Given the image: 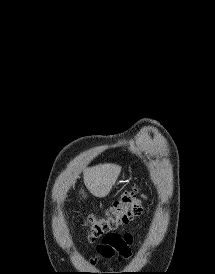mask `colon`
Instances as JSON below:
<instances>
[{
	"label": "colon",
	"instance_id": "colon-1",
	"mask_svg": "<svg viewBox=\"0 0 215 274\" xmlns=\"http://www.w3.org/2000/svg\"><path fill=\"white\" fill-rule=\"evenodd\" d=\"M142 193L140 188L135 187L124 192L119 199L106 209L103 216L91 215L85 221L90 240L127 224L142 212Z\"/></svg>",
	"mask_w": 215,
	"mask_h": 274
}]
</instances>
